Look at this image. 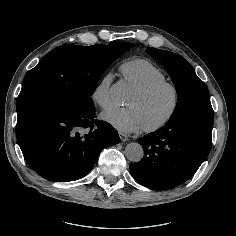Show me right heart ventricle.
Instances as JSON below:
<instances>
[{
  "label": "right heart ventricle",
  "mask_w": 236,
  "mask_h": 236,
  "mask_svg": "<svg viewBox=\"0 0 236 236\" xmlns=\"http://www.w3.org/2000/svg\"><path fill=\"white\" fill-rule=\"evenodd\" d=\"M120 69L125 81L129 82L135 90L144 89L168 79L167 74L161 68L144 58L126 61Z\"/></svg>",
  "instance_id": "obj_1"
}]
</instances>
